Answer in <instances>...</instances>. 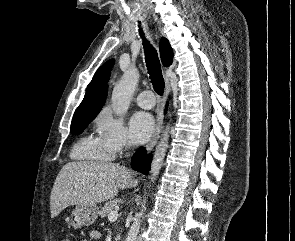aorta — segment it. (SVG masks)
Masks as SVG:
<instances>
[{
    "instance_id": "aorta-1",
    "label": "aorta",
    "mask_w": 295,
    "mask_h": 241,
    "mask_svg": "<svg viewBox=\"0 0 295 241\" xmlns=\"http://www.w3.org/2000/svg\"><path fill=\"white\" fill-rule=\"evenodd\" d=\"M139 80V72L136 68L131 67L128 69L120 79V81L115 85L112 97H111V106L115 114L121 115L125 114L129 108L130 99L136 88V85ZM168 139H169V127H166L162 138L160 139L151 164V181H155L158 176L165 154L168 148ZM141 213L139 217L134 219L133 224L131 225L125 241H136L137 235L140 229L141 223Z\"/></svg>"
}]
</instances>
